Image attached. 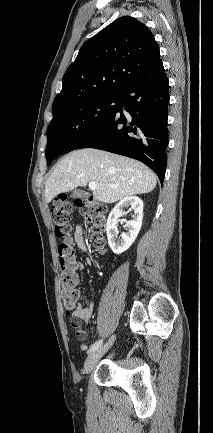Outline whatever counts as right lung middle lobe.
<instances>
[{
    "instance_id": "dd1d6c3e",
    "label": "right lung middle lobe",
    "mask_w": 213,
    "mask_h": 433,
    "mask_svg": "<svg viewBox=\"0 0 213 433\" xmlns=\"http://www.w3.org/2000/svg\"><path fill=\"white\" fill-rule=\"evenodd\" d=\"M121 95H98L57 110L47 129L46 160L53 159L104 124L116 111Z\"/></svg>"
}]
</instances>
